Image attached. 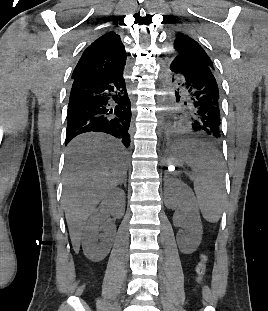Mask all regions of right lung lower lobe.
Listing matches in <instances>:
<instances>
[{"instance_id": "obj_1", "label": "right lung lower lobe", "mask_w": 268, "mask_h": 311, "mask_svg": "<svg viewBox=\"0 0 268 311\" xmlns=\"http://www.w3.org/2000/svg\"><path fill=\"white\" fill-rule=\"evenodd\" d=\"M123 71L73 80L67 111L66 145L82 133L103 132L129 147L132 114Z\"/></svg>"}]
</instances>
